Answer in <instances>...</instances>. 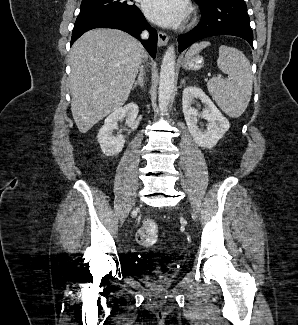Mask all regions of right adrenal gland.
<instances>
[{"instance_id":"1","label":"right adrenal gland","mask_w":298,"mask_h":325,"mask_svg":"<svg viewBox=\"0 0 298 325\" xmlns=\"http://www.w3.org/2000/svg\"><path fill=\"white\" fill-rule=\"evenodd\" d=\"M144 74H145V72H144L143 68H141V70L138 74V78H137V80H135L131 90H134V88H135V86H137V84H140V86H144V84H145Z\"/></svg>"}]
</instances>
